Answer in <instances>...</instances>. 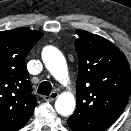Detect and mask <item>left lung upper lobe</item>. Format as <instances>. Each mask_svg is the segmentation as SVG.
<instances>
[{
    "label": "left lung upper lobe",
    "mask_w": 131,
    "mask_h": 131,
    "mask_svg": "<svg viewBox=\"0 0 131 131\" xmlns=\"http://www.w3.org/2000/svg\"><path fill=\"white\" fill-rule=\"evenodd\" d=\"M79 58L75 112L69 117L87 131H102L124 110L131 74L124 54L107 39L76 30Z\"/></svg>",
    "instance_id": "obj_1"
}]
</instances>
